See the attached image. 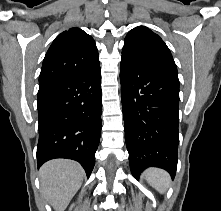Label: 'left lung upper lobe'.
I'll list each match as a JSON object with an SVG mask.
<instances>
[{
	"label": "left lung upper lobe",
	"mask_w": 221,
	"mask_h": 211,
	"mask_svg": "<svg viewBox=\"0 0 221 211\" xmlns=\"http://www.w3.org/2000/svg\"><path fill=\"white\" fill-rule=\"evenodd\" d=\"M121 58L178 77L169 48L157 34L145 26L135 27L127 34Z\"/></svg>",
	"instance_id": "1"
}]
</instances>
